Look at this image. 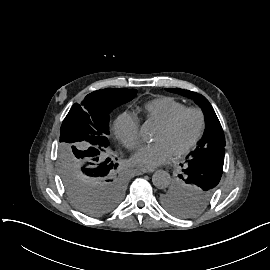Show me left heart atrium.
<instances>
[{
  "label": "left heart atrium",
  "instance_id": "39dd6f15",
  "mask_svg": "<svg viewBox=\"0 0 270 270\" xmlns=\"http://www.w3.org/2000/svg\"><path fill=\"white\" fill-rule=\"evenodd\" d=\"M176 154L173 145L167 141H157L142 146L132 160L144 169H154L170 162Z\"/></svg>",
  "mask_w": 270,
  "mask_h": 270
}]
</instances>
